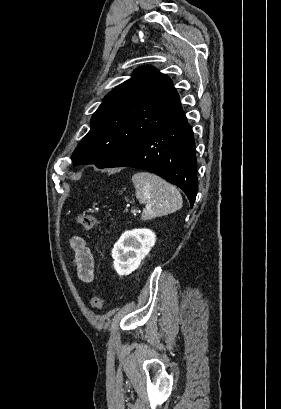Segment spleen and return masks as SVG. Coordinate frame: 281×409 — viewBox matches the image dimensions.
Returning a JSON list of instances; mask_svg holds the SVG:
<instances>
[{
	"instance_id": "3e777b00",
	"label": "spleen",
	"mask_w": 281,
	"mask_h": 409,
	"mask_svg": "<svg viewBox=\"0 0 281 409\" xmlns=\"http://www.w3.org/2000/svg\"><path fill=\"white\" fill-rule=\"evenodd\" d=\"M136 198L146 205L142 221L170 215L182 209V196L176 186L151 172H136L132 176Z\"/></svg>"
}]
</instances>
